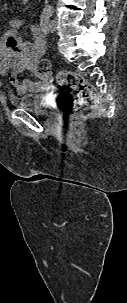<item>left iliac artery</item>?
<instances>
[{
  "mask_svg": "<svg viewBox=\"0 0 127 303\" xmlns=\"http://www.w3.org/2000/svg\"><path fill=\"white\" fill-rule=\"evenodd\" d=\"M53 14V7L51 5H46L43 9L42 15L51 16Z\"/></svg>",
  "mask_w": 127,
  "mask_h": 303,
  "instance_id": "44dca946",
  "label": "left iliac artery"
}]
</instances>
